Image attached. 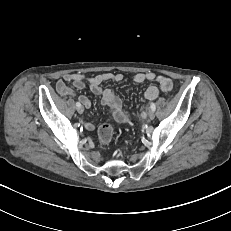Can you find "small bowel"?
Wrapping results in <instances>:
<instances>
[{
    "label": "small bowel",
    "mask_w": 231,
    "mask_h": 231,
    "mask_svg": "<svg viewBox=\"0 0 231 231\" xmlns=\"http://www.w3.org/2000/svg\"><path fill=\"white\" fill-rule=\"evenodd\" d=\"M123 78V74L113 72H105L93 77H89L82 73L65 74L58 80L56 89L62 96L73 97L75 94L67 87V83H71L72 86L78 90L84 89L86 85H88L94 94L101 96L102 104L109 107L114 120L118 123L126 124L130 122V118L124 112L121 100L112 89L103 87V84L106 82H119L122 81ZM133 81L138 84L146 81H156L163 92H168V88L172 86V81L169 78L156 75L153 72L137 73L134 75ZM158 95V87L151 85L146 89L144 99L147 101L154 100ZM78 99L86 108L90 107L91 102L86 96L80 95ZM140 117L143 118L144 114L142 113ZM85 127L88 130L95 129L92 123H85Z\"/></svg>",
    "instance_id": "obj_1"
}]
</instances>
